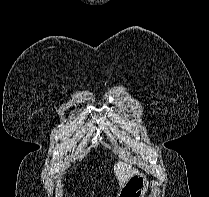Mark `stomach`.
<instances>
[{"label":"stomach","instance_id":"obj_1","mask_svg":"<svg viewBox=\"0 0 209 197\" xmlns=\"http://www.w3.org/2000/svg\"><path fill=\"white\" fill-rule=\"evenodd\" d=\"M147 188V178L143 174L137 173L121 186L117 197H145Z\"/></svg>","mask_w":209,"mask_h":197}]
</instances>
